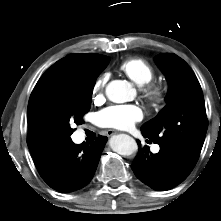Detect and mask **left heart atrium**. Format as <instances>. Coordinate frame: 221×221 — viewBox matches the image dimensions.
<instances>
[{"instance_id": "left-heart-atrium-1", "label": "left heart atrium", "mask_w": 221, "mask_h": 221, "mask_svg": "<svg viewBox=\"0 0 221 221\" xmlns=\"http://www.w3.org/2000/svg\"><path fill=\"white\" fill-rule=\"evenodd\" d=\"M143 118L142 110L136 105H114L99 113V123L104 127L128 130Z\"/></svg>"}]
</instances>
